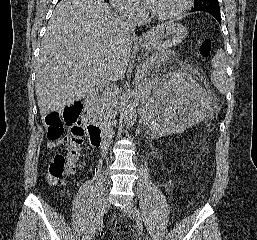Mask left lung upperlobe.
Listing matches in <instances>:
<instances>
[{"mask_svg":"<svg viewBox=\"0 0 257 240\" xmlns=\"http://www.w3.org/2000/svg\"><path fill=\"white\" fill-rule=\"evenodd\" d=\"M195 4L192 11L217 12L220 13L218 0H194Z\"/></svg>","mask_w":257,"mask_h":240,"instance_id":"1","label":"left lung upper lobe"}]
</instances>
